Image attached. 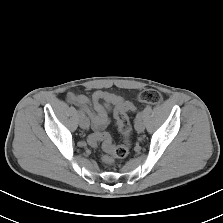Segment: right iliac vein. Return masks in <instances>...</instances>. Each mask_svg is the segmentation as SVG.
I'll list each match as a JSON object with an SVG mask.
<instances>
[{
  "label": "right iliac vein",
  "mask_w": 223,
  "mask_h": 223,
  "mask_svg": "<svg viewBox=\"0 0 223 223\" xmlns=\"http://www.w3.org/2000/svg\"><path fill=\"white\" fill-rule=\"evenodd\" d=\"M80 127L83 129L89 128V119L85 115L80 116Z\"/></svg>",
  "instance_id": "obj_1"
}]
</instances>
